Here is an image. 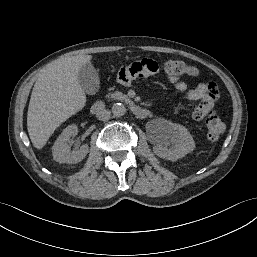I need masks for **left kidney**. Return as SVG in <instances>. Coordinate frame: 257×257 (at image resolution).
Returning <instances> with one entry per match:
<instances>
[{
	"label": "left kidney",
	"instance_id": "left-kidney-1",
	"mask_svg": "<svg viewBox=\"0 0 257 257\" xmlns=\"http://www.w3.org/2000/svg\"><path fill=\"white\" fill-rule=\"evenodd\" d=\"M195 149L190 132L180 124L168 122L157 137L154 152L161 158L177 160Z\"/></svg>",
	"mask_w": 257,
	"mask_h": 257
}]
</instances>
